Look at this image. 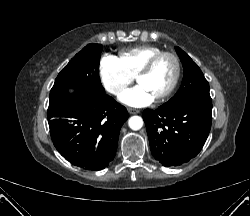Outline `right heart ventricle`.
<instances>
[{
    "label": "right heart ventricle",
    "mask_w": 250,
    "mask_h": 216,
    "mask_svg": "<svg viewBox=\"0 0 250 216\" xmlns=\"http://www.w3.org/2000/svg\"><path fill=\"white\" fill-rule=\"evenodd\" d=\"M162 50L156 46L144 45L123 50L119 55V60L124 68L132 75L136 76L144 65Z\"/></svg>",
    "instance_id": "1"
}]
</instances>
